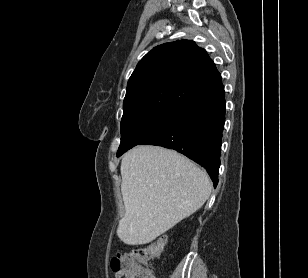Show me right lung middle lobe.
I'll use <instances>...</instances> for the list:
<instances>
[{"mask_svg":"<svg viewBox=\"0 0 308 278\" xmlns=\"http://www.w3.org/2000/svg\"><path fill=\"white\" fill-rule=\"evenodd\" d=\"M178 111L154 110L129 116L121 121V143L117 157L162 129Z\"/></svg>","mask_w":308,"mask_h":278,"instance_id":"dd1d6c3e","label":"right lung middle lobe"}]
</instances>
